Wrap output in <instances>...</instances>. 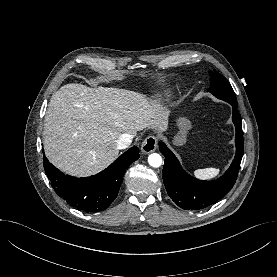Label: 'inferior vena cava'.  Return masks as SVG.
<instances>
[{"label": "inferior vena cava", "mask_w": 277, "mask_h": 277, "mask_svg": "<svg viewBox=\"0 0 277 277\" xmlns=\"http://www.w3.org/2000/svg\"><path fill=\"white\" fill-rule=\"evenodd\" d=\"M133 139V136L128 133L122 134L118 140L116 141V147L117 149H125L129 147Z\"/></svg>", "instance_id": "602c4592"}]
</instances>
